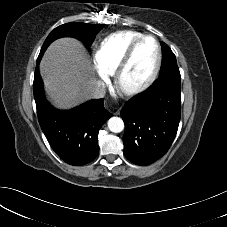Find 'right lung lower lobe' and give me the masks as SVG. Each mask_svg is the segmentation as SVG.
Wrapping results in <instances>:
<instances>
[{
	"label": "right lung lower lobe",
	"mask_w": 227,
	"mask_h": 227,
	"mask_svg": "<svg viewBox=\"0 0 227 227\" xmlns=\"http://www.w3.org/2000/svg\"><path fill=\"white\" fill-rule=\"evenodd\" d=\"M42 58V57H41ZM37 59L33 93L43 133L55 153L66 163L81 166L93 161L98 152V132L112 114L103 98L94 99L71 110H57L46 100Z\"/></svg>",
	"instance_id": "1"
}]
</instances>
